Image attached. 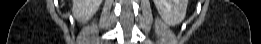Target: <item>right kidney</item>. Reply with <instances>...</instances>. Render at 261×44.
<instances>
[{"label":"right kidney","instance_id":"ca27d5eb","mask_svg":"<svg viewBox=\"0 0 261 44\" xmlns=\"http://www.w3.org/2000/svg\"><path fill=\"white\" fill-rule=\"evenodd\" d=\"M102 0H73L72 13L81 23H86L97 11Z\"/></svg>","mask_w":261,"mask_h":44}]
</instances>
